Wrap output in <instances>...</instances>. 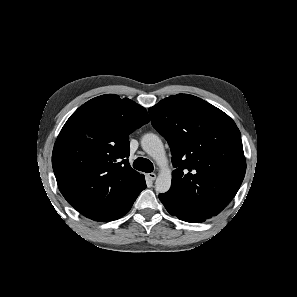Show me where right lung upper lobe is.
I'll return each instance as SVG.
<instances>
[{
	"label": "right lung upper lobe",
	"instance_id": "1",
	"mask_svg": "<svg viewBox=\"0 0 297 297\" xmlns=\"http://www.w3.org/2000/svg\"><path fill=\"white\" fill-rule=\"evenodd\" d=\"M145 108L106 94L80 106L59 133L52 165L60 192L85 217L102 222L143 180L131 168L129 134L149 122Z\"/></svg>",
	"mask_w": 297,
	"mask_h": 297
}]
</instances>
